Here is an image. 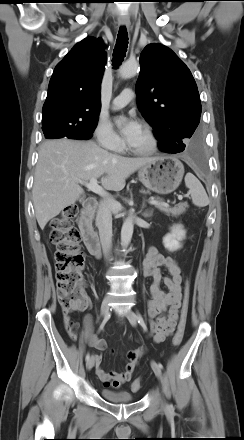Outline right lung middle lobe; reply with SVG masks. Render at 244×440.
Here are the masks:
<instances>
[{
  "label": "right lung middle lobe",
  "mask_w": 244,
  "mask_h": 440,
  "mask_svg": "<svg viewBox=\"0 0 244 440\" xmlns=\"http://www.w3.org/2000/svg\"><path fill=\"white\" fill-rule=\"evenodd\" d=\"M98 119L87 124H76L65 120H48L42 122V129L47 139L67 137L70 139L86 140L91 138Z\"/></svg>",
  "instance_id": "obj_1"
}]
</instances>
